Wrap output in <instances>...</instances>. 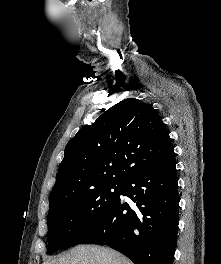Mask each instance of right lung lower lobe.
Returning a JSON list of instances; mask_svg holds the SVG:
<instances>
[{
	"label": "right lung lower lobe",
	"instance_id": "right-lung-lower-lobe-1",
	"mask_svg": "<svg viewBox=\"0 0 221 264\" xmlns=\"http://www.w3.org/2000/svg\"><path fill=\"white\" fill-rule=\"evenodd\" d=\"M113 210L80 244H103L134 264H172L178 230V179L174 154L122 183Z\"/></svg>",
	"mask_w": 221,
	"mask_h": 264
}]
</instances>
